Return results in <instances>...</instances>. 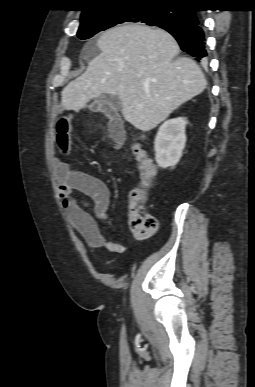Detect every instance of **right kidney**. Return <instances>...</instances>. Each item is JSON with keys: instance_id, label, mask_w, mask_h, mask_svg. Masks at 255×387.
Returning a JSON list of instances; mask_svg holds the SVG:
<instances>
[{"instance_id": "1", "label": "right kidney", "mask_w": 255, "mask_h": 387, "mask_svg": "<svg viewBox=\"0 0 255 387\" xmlns=\"http://www.w3.org/2000/svg\"><path fill=\"white\" fill-rule=\"evenodd\" d=\"M186 118L165 121L159 128L154 142L155 160L159 167L165 169L175 166L182 157L186 144Z\"/></svg>"}]
</instances>
